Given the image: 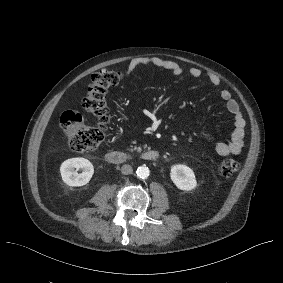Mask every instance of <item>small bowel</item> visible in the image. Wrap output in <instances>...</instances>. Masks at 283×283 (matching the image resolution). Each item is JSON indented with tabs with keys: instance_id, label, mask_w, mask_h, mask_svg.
I'll return each instance as SVG.
<instances>
[{
	"instance_id": "1",
	"label": "small bowel",
	"mask_w": 283,
	"mask_h": 283,
	"mask_svg": "<svg viewBox=\"0 0 283 283\" xmlns=\"http://www.w3.org/2000/svg\"><path fill=\"white\" fill-rule=\"evenodd\" d=\"M141 67H157L169 71L174 75H181L183 73L182 66L172 60H166L158 56L152 57H138L132 59L127 66L126 74L130 75L136 69ZM189 74L193 78L202 76V71L198 68H190ZM207 79L212 85H219L220 78L214 74H208ZM222 100L226 103L228 112L233 116L234 129L232 132L231 140L228 142H218L215 146L216 152L221 156L238 155L244 146V137L246 122L241 113L239 104L232 98L231 93L227 89L220 92Z\"/></svg>"
}]
</instances>
